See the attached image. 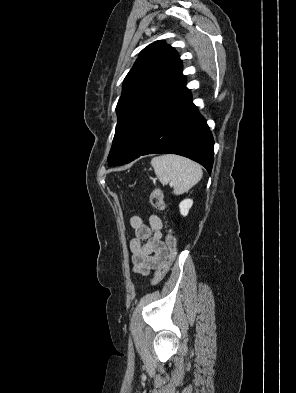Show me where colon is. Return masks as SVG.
I'll use <instances>...</instances> for the list:
<instances>
[{"label":"colon","instance_id":"5ec220e1","mask_svg":"<svg viewBox=\"0 0 296 393\" xmlns=\"http://www.w3.org/2000/svg\"><path fill=\"white\" fill-rule=\"evenodd\" d=\"M150 203L156 210L162 211L165 209L164 195L160 188L156 187L152 191L150 195ZM165 244H166V253H167L166 258L158 266L152 280V285H157L160 283V281L164 278V276L170 269L175 259L177 247H176V239L172 231H169L167 233L165 238Z\"/></svg>","mask_w":296,"mask_h":393}]
</instances>
